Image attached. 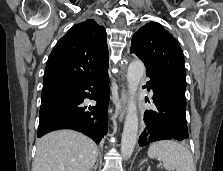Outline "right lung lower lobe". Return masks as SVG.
<instances>
[{
	"instance_id": "right-lung-lower-lobe-1",
	"label": "right lung lower lobe",
	"mask_w": 223,
	"mask_h": 171,
	"mask_svg": "<svg viewBox=\"0 0 223 171\" xmlns=\"http://www.w3.org/2000/svg\"><path fill=\"white\" fill-rule=\"evenodd\" d=\"M85 98L96 106L85 111ZM109 77L107 70L86 83L42 95L37 137L58 129H73L92 138L97 144L107 133Z\"/></svg>"
}]
</instances>
